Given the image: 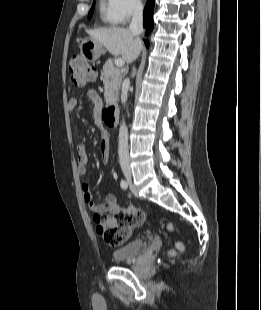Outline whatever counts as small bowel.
I'll return each mask as SVG.
<instances>
[{
  "mask_svg": "<svg viewBox=\"0 0 261 310\" xmlns=\"http://www.w3.org/2000/svg\"><path fill=\"white\" fill-rule=\"evenodd\" d=\"M86 94L94 106L95 117L98 118L102 109V99L98 95L97 91L93 88H89ZM76 105L77 101L75 99H71L68 102V107L71 111L75 109ZM100 150L102 154V160L106 164L109 159V140L107 137L102 140ZM88 166L89 157L83 139L81 138V141L78 145V173L80 176L85 177L88 175ZM82 191L84 200L89 204L90 209L94 212L95 221L98 215L112 214L122 211V208L118 205L114 195L109 194L105 197L102 203H95L93 201L90 187L87 182L82 184Z\"/></svg>",
  "mask_w": 261,
  "mask_h": 310,
  "instance_id": "1",
  "label": "small bowel"
}]
</instances>
